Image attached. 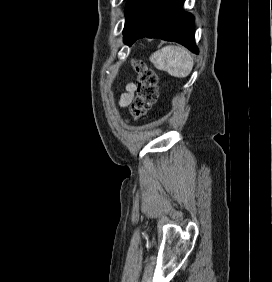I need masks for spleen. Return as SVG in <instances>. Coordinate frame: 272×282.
Here are the masks:
<instances>
[{
    "label": "spleen",
    "mask_w": 272,
    "mask_h": 282,
    "mask_svg": "<svg viewBox=\"0 0 272 282\" xmlns=\"http://www.w3.org/2000/svg\"><path fill=\"white\" fill-rule=\"evenodd\" d=\"M153 65L175 77H186L193 66L189 52L179 46H165L150 57Z\"/></svg>",
    "instance_id": "obj_1"
}]
</instances>
